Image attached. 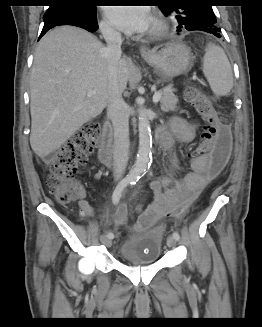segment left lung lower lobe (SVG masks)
<instances>
[{"instance_id":"obj_1","label":"left lung lower lobe","mask_w":262,"mask_h":327,"mask_svg":"<svg viewBox=\"0 0 262 327\" xmlns=\"http://www.w3.org/2000/svg\"><path fill=\"white\" fill-rule=\"evenodd\" d=\"M215 36H217V37H220V33H218V34H215Z\"/></svg>"}]
</instances>
